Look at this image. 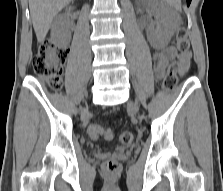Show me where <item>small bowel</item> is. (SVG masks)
<instances>
[{
	"instance_id": "c3829d8e",
	"label": "small bowel",
	"mask_w": 223,
	"mask_h": 191,
	"mask_svg": "<svg viewBox=\"0 0 223 191\" xmlns=\"http://www.w3.org/2000/svg\"><path fill=\"white\" fill-rule=\"evenodd\" d=\"M153 58L155 61V71L158 75H162L169 61L177 59L180 65V73H185L190 64L191 54H180L172 46H154Z\"/></svg>"
}]
</instances>
